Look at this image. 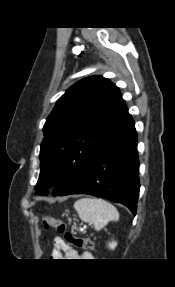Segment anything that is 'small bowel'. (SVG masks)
Returning a JSON list of instances; mask_svg holds the SVG:
<instances>
[{"label":"small bowel","instance_id":"small-bowel-1","mask_svg":"<svg viewBox=\"0 0 175 287\" xmlns=\"http://www.w3.org/2000/svg\"><path fill=\"white\" fill-rule=\"evenodd\" d=\"M53 251L52 256L55 258L62 257V252L64 253L65 257L67 258H75V257H83V258H90V254L88 252L78 253L72 247L68 246L62 238L56 237L53 240Z\"/></svg>","mask_w":175,"mask_h":287}]
</instances>
